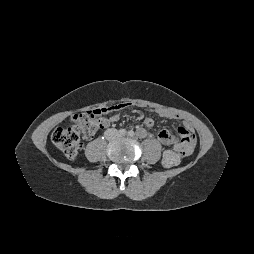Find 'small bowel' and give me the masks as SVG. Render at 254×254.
Segmentation results:
<instances>
[{"instance_id": "small-bowel-1", "label": "small bowel", "mask_w": 254, "mask_h": 254, "mask_svg": "<svg viewBox=\"0 0 254 254\" xmlns=\"http://www.w3.org/2000/svg\"><path fill=\"white\" fill-rule=\"evenodd\" d=\"M129 105L130 104H128V103H121V104H118L113 107L102 108V109H106L102 114H108L111 112H116V113L113 114L112 116H110L109 118H106V117L99 118L98 128L104 129V128L109 127L111 124L117 122L119 120V115L117 112L129 107ZM157 113L161 117L167 118V119H178L179 118L178 114L171 112L169 110H166V109H158ZM154 124H155L154 120L149 117L145 118L143 121V125L146 128H152L154 126ZM177 131L180 136V140H177L176 137L173 135V133L170 132L169 130L161 129L158 132L159 141L164 145L172 146L171 150H166L163 154L162 161H163V165L165 167H170L164 163V159L168 153L178 152L183 157H188L193 153L196 137H195L192 127L188 123H185L184 125L180 126Z\"/></svg>"}]
</instances>
